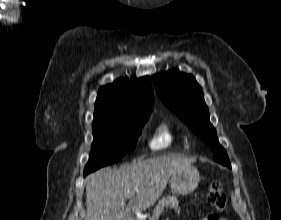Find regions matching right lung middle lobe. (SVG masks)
<instances>
[{
	"label": "right lung middle lobe",
	"mask_w": 281,
	"mask_h": 220,
	"mask_svg": "<svg viewBox=\"0 0 281 220\" xmlns=\"http://www.w3.org/2000/svg\"><path fill=\"white\" fill-rule=\"evenodd\" d=\"M149 116L133 117L111 123L93 122L94 141L84 175L118 162L125 153H132L141 128Z\"/></svg>",
	"instance_id": "right-lung-middle-lobe-1"
}]
</instances>
